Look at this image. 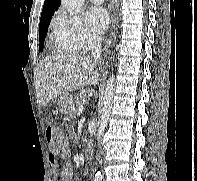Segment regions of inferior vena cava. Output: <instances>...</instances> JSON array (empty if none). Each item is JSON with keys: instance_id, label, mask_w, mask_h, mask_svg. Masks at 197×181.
<instances>
[{"instance_id": "602c4592", "label": "inferior vena cava", "mask_w": 197, "mask_h": 181, "mask_svg": "<svg viewBox=\"0 0 197 181\" xmlns=\"http://www.w3.org/2000/svg\"><path fill=\"white\" fill-rule=\"evenodd\" d=\"M101 42H102V38L97 35L94 34L92 37V52H91V57L93 58L94 62H97L100 57H101Z\"/></svg>"}]
</instances>
